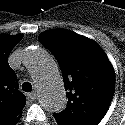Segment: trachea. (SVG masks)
Here are the masks:
<instances>
[{"mask_svg":"<svg viewBox=\"0 0 125 125\" xmlns=\"http://www.w3.org/2000/svg\"><path fill=\"white\" fill-rule=\"evenodd\" d=\"M22 89H23V91H25V92H31V91H32V85H31V83H29V82H24V83L22 84Z\"/></svg>","mask_w":125,"mask_h":125,"instance_id":"obj_1","label":"trachea"}]
</instances>
